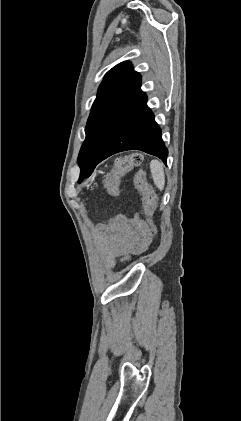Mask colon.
I'll use <instances>...</instances> for the list:
<instances>
[{"mask_svg":"<svg viewBox=\"0 0 241 421\" xmlns=\"http://www.w3.org/2000/svg\"><path fill=\"white\" fill-rule=\"evenodd\" d=\"M143 162V157L140 154L133 153L125 155L115 162L113 168L107 174L104 185L106 191L111 196H118L120 192L121 178L129 173L134 167L139 166ZM135 185L142 195L143 208L151 221L154 224V215L157 206V196L152 186L146 181L145 171L140 170L136 173L134 178ZM130 259V255H126L122 262L125 263Z\"/></svg>","mask_w":241,"mask_h":421,"instance_id":"colon-1","label":"colon"}]
</instances>
